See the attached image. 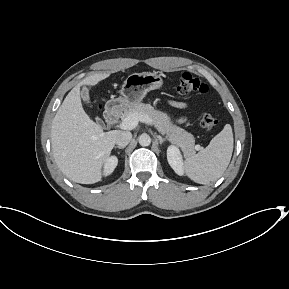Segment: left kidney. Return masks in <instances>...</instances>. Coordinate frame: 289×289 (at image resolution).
Here are the masks:
<instances>
[{
	"label": "left kidney",
	"instance_id": "5707ae66",
	"mask_svg": "<svg viewBox=\"0 0 289 289\" xmlns=\"http://www.w3.org/2000/svg\"><path fill=\"white\" fill-rule=\"evenodd\" d=\"M167 160L171 168L175 171L178 175H183V160L180 150L175 145H170L167 148Z\"/></svg>",
	"mask_w": 289,
	"mask_h": 289
}]
</instances>
